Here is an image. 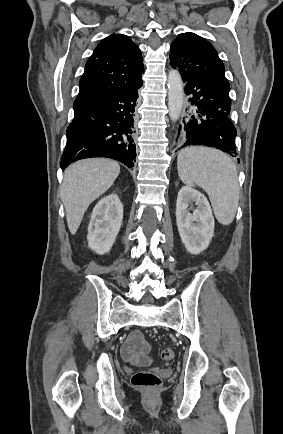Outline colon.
Instances as JSON below:
<instances>
[{
  "label": "colon",
  "mask_w": 283,
  "mask_h": 434,
  "mask_svg": "<svg viewBox=\"0 0 283 434\" xmlns=\"http://www.w3.org/2000/svg\"><path fill=\"white\" fill-rule=\"evenodd\" d=\"M175 356L171 348H166L161 352L164 360H172ZM132 384L138 388L152 390L161 384L160 377L151 371H141L132 377Z\"/></svg>",
  "instance_id": "obj_1"
}]
</instances>
